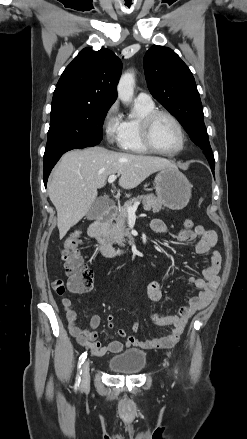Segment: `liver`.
Here are the masks:
<instances>
[{
  "instance_id": "obj_1",
  "label": "liver",
  "mask_w": 247,
  "mask_h": 439,
  "mask_svg": "<svg viewBox=\"0 0 247 439\" xmlns=\"http://www.w3.org/2000/svg\"><path fill=\"white\" fill-rule=\"evenodd\" d=\"M176 165L164 158L118 153L103 147L72 150L56 165L48 183V195L57 211V226L62 239L90 210L97 189L112 174H120L124 189L137 187L152 173Z\"/></svg>"
}]
</instances>
